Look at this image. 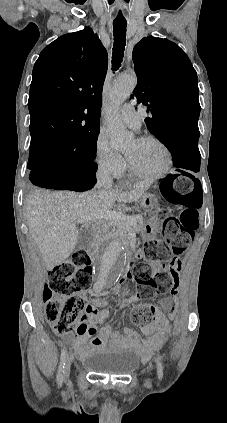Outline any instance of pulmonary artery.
Here are the masks:
<instances>
[{"mask_svg":"<svg viewBox=\"0 0 227 423\" xmlns=\"http://www.w3.org/2000/svg\"><path fill=\"white\" fill-rule=\"evenodd\" d=\"M119 118L127 127L139 129L142 119L145 118V113H138L132 103H127L121 108Z\"/></svg>","mask_w":227,"mask_h":423,"instance_id":"obj_1","label":"pulmonary artery"}]
</instances>
